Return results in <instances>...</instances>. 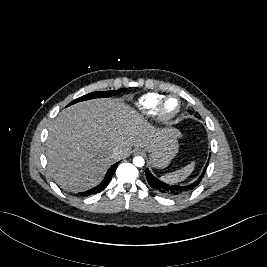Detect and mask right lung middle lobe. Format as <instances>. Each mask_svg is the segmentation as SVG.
Here are the masks:
<instances>
[{
  "instance_id": "1",
  "label": "right lung middle lobe",
  "mask_w": 267,
  "mask_h": 267,
  "mask_svg": "<svg viewBox=\"0 0 267 267\" xmlns=\"http://www.w3.org/2000/svg\"><path fill=\"white\" fill-rule=\"evenodd\" d=\"M126 89L123 88V89H119V90H113V91H98V92H93V93H90V94H87V95H84L82 97H79L78 99L72 101L69 105H72V104H75L77 102H80V101H84V100H89V99H94V98H107V97H111V96H114L116 95L117 93L119 92H125Z\"/></svg>"
}]
</instances>
